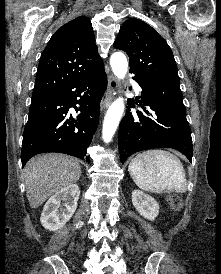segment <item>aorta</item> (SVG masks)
Here are the masks:
<instances>
[{
  "mask_svg": "<svg viewBox=\"0 0 221 274\" xmlns=\"http://www.w3.org/2000/svg\"><path fill=\"white\" fill-rule=\"evenodd\" d=\"M110 65L114 75L118 79H124L128 69V62L126 56L122 52H115L112 54ZM124 107V99L122 97L117 98L109 106L104 117L102 128V138L105 143L111 142L124 112Z\"/></svg>",
  "mask_w": 221,
  "mask_h": 274,
  "instance_id": "obj_1",
  "label": "aorta"
}]
</instances>
